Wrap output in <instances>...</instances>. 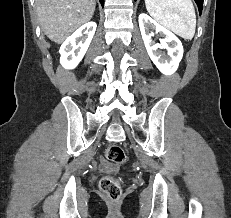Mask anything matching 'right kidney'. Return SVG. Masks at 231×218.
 Returning <instances> with one entry per match:
<instances>
[{"mask_svg":"<svg viewBox=\"0 0 231 218\" xmlns=\"http://www.w3.org/2000/svg\"><path fill=\"white\" fill-rule=\"evenodd\" d=\"M97 24L88 22L76 30L61 45L59 53L60 63L65 69L75 68L83 59L91 40L94 36Z\"/></svg>","mask_w":231,"mask_h":218,"instance_id":"1","label":"right kidney"}]
</instances>
